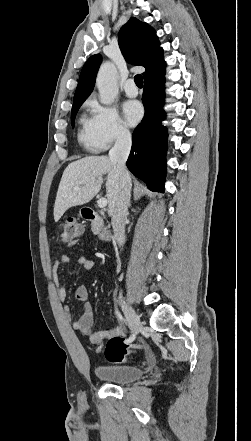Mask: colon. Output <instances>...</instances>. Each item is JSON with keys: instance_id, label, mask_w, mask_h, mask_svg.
Segmentation results:
<instances>
[{"instance_id": "obj_1", "label": "colon", "mask_w": 251, "mask_h": 441, "mask_svg": "<svg viewBox=\"0 0 251 441\" xmlns=\"http://www.w3.org/2000/svg\"><path fill=\"white\" fill-rule=\"evenodd\" d=\"M82 233L81 225L73 218L67 219L62 223L58 229V239L61 243H68L79 237ZM147 345L142 343L126 344L124 339L120 336L109 338L103 347L105 358L114 364L123 363L127 361V355L134 349H146ZM99 350H101L99 348Z\"/></svg>"}]
</instances>
